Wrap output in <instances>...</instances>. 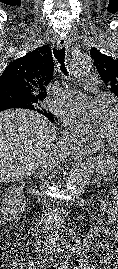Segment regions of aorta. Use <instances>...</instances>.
Masks as SVG:
<instances>
[{
    "mask_svg": "<svg viewBox=\"0 0 118 269\" xmlns=\"http://www.w3.org/2000/svg\"><path fill=\"white\" fill-rule=\"evenodd\" d=\"M93 61L89 55L81 54L73 61L72 75L80 78L88 74L92 69ZM90 176V170L85 166L74 168L67 178L66 187L68 189H76L84 183Z\"/></svg>",
    "mask_w": 118,
    "mask_h": 269,
    "instance_id": "1",
    "label": "aorta"
}]
</instances>
